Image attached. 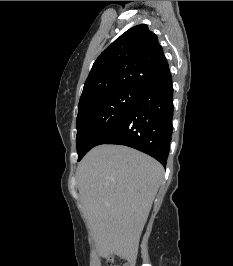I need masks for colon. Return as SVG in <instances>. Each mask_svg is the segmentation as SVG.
<instances>
[{"label": "colon", "instance_id": "colon-1", "mask_svg": "<svg viewBox=\"0 0 233 266\" xmlns=\"http://www.w3.org/2000/svg\"><path fill=\"white\" fill-rule=\"evenodd\" d=\"M106 262H107L108 266H113V260L111 258H108L106 260ZM122 266H132V262L128 261L125 264H123Z\"/></svg>", "mask_w": 233, "mask_h": 266}]
</instances>
